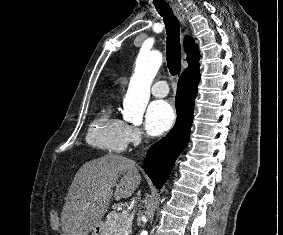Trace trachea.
Segmentation results:
<instances>
[{
	"label": "trachea",
	"instance_id": "obj_1",
	"mask_svg": "<svg viewBox=\"0 0 283 235\" xmlns=\"http://www.w3.org/2000/svg\"><path fill=\"white\" fill-rule=\"evenodd\" d=\"M157 11L163 17L167 32L166 58L171 75L181 71L180 25L172 9L166 2L154 3Z\"/></svg>",
	"mask_w": 283,
	"mask_h": 235
}]
</instances>
